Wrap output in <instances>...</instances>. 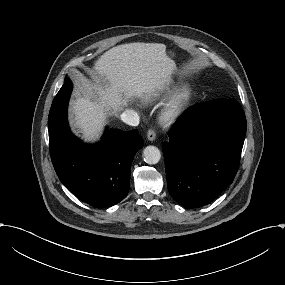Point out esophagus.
<instances>
[{"instance_id":"obj_1","label":"esophagus","mask_w":285,"mask_h":285,"mask_svg":"<svg viewBox=\"0 0 285 285\" xmlns=\"http://www.w3.org/2000/svg\"><path fill=\"white\" fill-rule=\"evenodd\" d=\"M147 138H148V140H150V141H154V140H155V138H156V133H155V130H154V129L150 128V129L148 130V132H147Z\"/></svg>"}]
</instances>
